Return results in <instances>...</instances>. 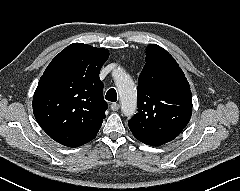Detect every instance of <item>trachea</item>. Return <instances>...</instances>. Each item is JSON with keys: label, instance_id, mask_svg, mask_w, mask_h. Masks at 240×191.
Masks as SVG:
<instances>
[{"label": "trachea", "instance_id": "trachea-1", "mask_svg": "<svg viewBox=\"0 0 240 191\" xmlns=\"http://www.w3.org/2000/svg\"><path fill=\"white\" fill-rule=\"evenodd\" d=\"M105 99L111 102H116L117 100V92L115 89L111 88L107 91L105 95Z\"/></svg>", "mask_w": 240, "mask_h": 191}]
</instances>
